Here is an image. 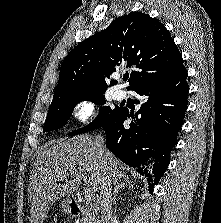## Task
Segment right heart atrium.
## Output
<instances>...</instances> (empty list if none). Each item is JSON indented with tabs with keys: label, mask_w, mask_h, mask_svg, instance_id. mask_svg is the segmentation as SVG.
Masks as SVG:
<instances>
[{
	"label": "right heart atrium",
	"mask_w": 221,
	"mask_h": 223,
	"mask_svg": "<svg viewBox=\"0 0 221 223\" xmlns=\"http://www.w3.org/2000/svg\"><path fill=\"white\" fill-rule=\"evenodd\" d=\"M97 114V106L91 97H83L77 100L71 108V119L77 125L90 124Z\"/></svg>",
	"instance_id": "obj_1"
}]
</instances>
